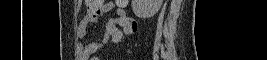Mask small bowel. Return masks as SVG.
Instances as JSON below:
<instances>
[{"instance_id": "small-bowel-1", "label": "small bowel", "mask_w": 267, "mask_h": 60, "mask_svg": "<svg viewBox=\"0 0 267 60\" xmlns=\"http://www.w3.org/2000/svg\"><path fill=\"white\" fill-rule=\"evenodd\" d=\"M125 5L126 4L120 5L119 3L113 1L105 2L104 10L101 14L110 11L115 7L116 14L107 20L105 25L104 36L102 37V39L92 41L83 48L82 51L85 57L92 56L105 44L119 43L124 35H132L135 32L136 27L135 29L130 27L131 24H133L135 21L133 18L127 16ZM100 15H86L82 19L78 29V36L81 39L87 37L89 29L93 27V25L98 21ZM123 24H126V26H123Z\"/></svg>"}]
</instances>
